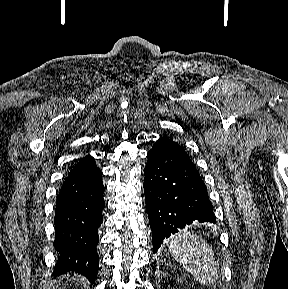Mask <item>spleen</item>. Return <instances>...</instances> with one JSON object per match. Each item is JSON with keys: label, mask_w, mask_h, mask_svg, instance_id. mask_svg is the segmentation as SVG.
Wrapping results in <instances>:
<instances>
[{"label": "spleen", "mask_w": 288, "mask_h": 289, "mask_svg": "<svg viewBox=\"0 0 288 289\" xmlns=\"http://www.w3.org/2000/svg\"><path fill=\"white\" fill-rule=\"evenodd\" d=\"M169 252L194 279L202 285L213 284L217 263L212 248L199 236L181 230L168 245Z\"/></svg>", "instance_id": "1"}]
</instances>
